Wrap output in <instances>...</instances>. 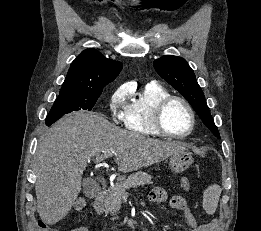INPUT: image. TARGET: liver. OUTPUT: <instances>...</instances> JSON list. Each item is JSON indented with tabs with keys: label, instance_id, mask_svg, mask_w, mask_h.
Wrapping results in <instances>:
<instances>
[{
	"label": "liver",
	"instance_id": "obj_1",
	"mask_svg": "<svg viewBox=\"0 0 261 231\" xmlns=\"http://www.w3.org/2000/svg\"><path fill=\"white\" fill-rule=\"evenodd\" d=\"M186 150L123 130L97 113L74 112L58 120L39 140L35 155L37 212L48 225L63 219L74 204L90 158L115 151L118 170L127 173Z\"/></svg>",
	"mask_w": 261,
	"mask_h": 231
}]
</instances>
